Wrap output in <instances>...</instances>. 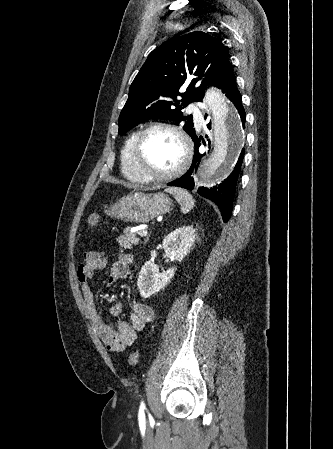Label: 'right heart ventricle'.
I'll return each instance as SVG.
<instances>
[{"label":"right heart ventricle","instance_id":"obj_1","mask_svg":"<svg viewBox=\"0 0 333 449\" xmlns=\"http://www.w3.org/2000/svg\"><path fill=\"white\" fill-rule=\"evenodd\" d=\"M139 131H134L126 139L121 151V167L123 175L132 181L145 182L135 169L133 162V148Z\"/></svg>","mask_w":333,"mask_h":449}]
</instances>
